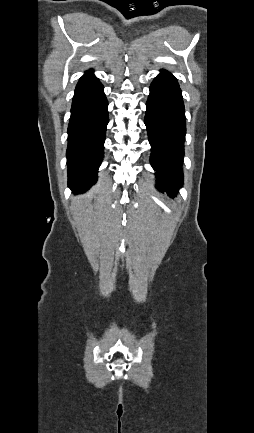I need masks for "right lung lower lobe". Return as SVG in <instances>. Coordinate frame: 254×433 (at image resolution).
Instances as JSON below:
<instances>
[{
	"label": "right lung lower lobe",
	"mask_w": 254,
	"mask_h": 433,
	"mask_svg": "<svg viewBox=\"0 0 254 433\" xmlns=\"http://www.w3.org/2000/svg\"><path fill=\"white\" fill-rule=\"evenodd\" d=\"M92 72L87 71L77 84L68 126V185L76 194L97 180L109 121L103 85Z\"/></svg>",
	"instance_id": "obj_1"
}]
</instances>
